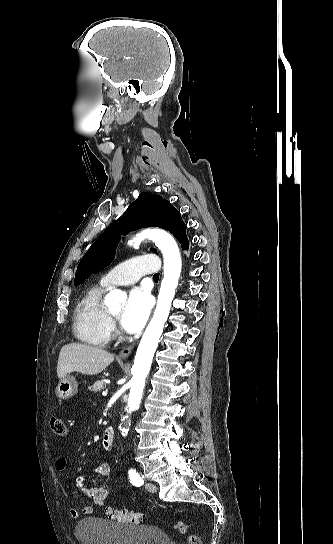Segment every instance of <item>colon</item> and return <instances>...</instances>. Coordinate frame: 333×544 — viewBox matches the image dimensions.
<instances>
[{
    "label": "colon",
    "instance_id": "1",
    "mask_svg": "<svg viewBox=\"0 0 333 544\" xmlns=\"http://www.w3.org/2000/svg\"><path fill=\"white\" fill-rule=\"evenodd\" d=\"M50 427L52 432L58 436H66L67 428L64 421L59 417H53L50 420ZM109 517L112 519L118 520L120 522L129 523V524H141L143 522V514L138 512H131L128 510H115L112 508H107L106 510ZM192 527V524L185 522H178L175 525V529L180 533H185L189 528ZM187 544H201L200 538L195 534H190L187 538Z\"/></svg>",
    "mask_w": 333,
    "mask_h": 544
}]
</instances>
